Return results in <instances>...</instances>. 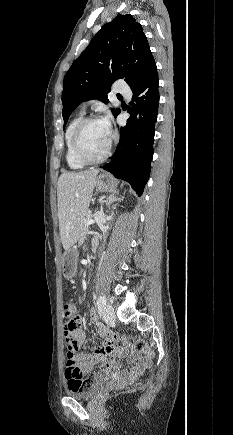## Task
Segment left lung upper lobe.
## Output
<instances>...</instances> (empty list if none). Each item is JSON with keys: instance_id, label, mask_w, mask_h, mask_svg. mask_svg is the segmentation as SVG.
<instances>
[{"instance_id": "left-lung-upper-lobe-1", "label": "left lung upper lobe", "mask_w": 233, "mask_h": 435, "mask_svg": "<svg viewBox=\"0 0 233 435\" xmlns=\"http://www.w3.org/2000/svg\"><path fill=\"white\" fill-rule=\"evenodd\" d=\"M154 63L142 26L130 14H118L103 25L64 77V127L81 102L97 98L107 103L114 81L124 79L131 87ZM111 111L115 117L120 112Z\"/></svg>"}]
</instances>
